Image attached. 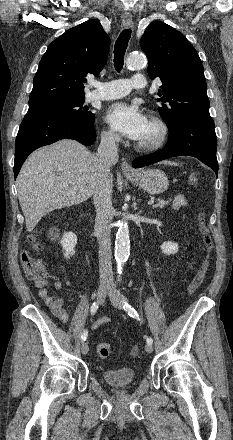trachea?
Listing matches in <instances>:
<instances>
[{"label":"trachea","mask_w":233,"mask_h":440,"mask_svg":"<svg viewBox=\"0 0 233 440\" xmlns=\"http://www.w3.org/2000/svg\"><path fill=\"white\" fill-rule=\"evenodd\" d=\"M131 37V29L123 30L114 46V67L117 71H120L124 64V55L128 46L129 39Z\"/></svg>","instance_id":"obj_1"}]
</instances>
